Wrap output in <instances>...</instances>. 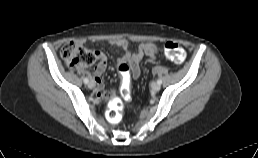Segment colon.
Here are the masks:
<instances>
[{"label": "colon", "mask_w": 258, "mask_h": 158, "mask_svg": "<svg viewBox=\"0 0 258 158\" xmlns=\"http://www.w3.org/2000/svg\"><path fill=\"white\" fill-rule=\"evenodd\" d=\"M163 51L167 59L175 64H181L186 56L184 48L175 41L164 43ZM61 56L71 68L92 65L96 61L95 54L76 41H70L64 44L61 49ZM118 71L122 81L121 96L127 99L129 97L131 72L129 64L120 62ZM122 108L123 104L119 98H113L109 101L107 115L111 123H118L121 120Z\"/></svg>", "instance_id": "obj_1"}]
</instances>
